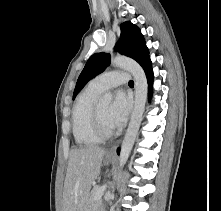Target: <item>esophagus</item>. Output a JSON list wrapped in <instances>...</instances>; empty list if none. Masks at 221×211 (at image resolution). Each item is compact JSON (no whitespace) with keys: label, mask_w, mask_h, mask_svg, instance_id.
<instances>
[{"label":"esophagus","mask_w":221,"mask_h":211,"mask_svg":"<svg viewBox=\"0 0 221 211\" xmlns=\"http://www.w3.org/2000/svg\"><path fill=\"white\" fill-rule=\"evenodd\" d=\"M116 148H117V146L115 145V146H113V147H111L110 148V150H109V153L110 154H114L115 153V151H116Z\"/></svg>","instance_id":"34e87169"}]
</instances>
